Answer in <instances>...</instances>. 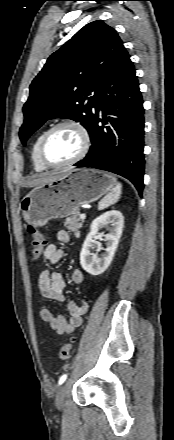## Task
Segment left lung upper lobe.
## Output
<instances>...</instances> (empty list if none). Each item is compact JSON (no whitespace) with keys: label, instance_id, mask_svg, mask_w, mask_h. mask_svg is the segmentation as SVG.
<instances>
[{"label":"left lung upper lobe","instance_id":"left-lung-upper-lobe-1","mask_svg":"<svg viewBox=\"0 0 174 440\" xmlns=\"http://www.w3.org/2000/svg\"><path fill=\"white\" fill-rule=\"evenodd\" d=\"M124 49L115 29L97 20L53 53L30 85L19 131L22 143L25 145L33 132L56 117L81 122L87 129L93 104Z\"/></svg>","mask_w":174,"mask_h":440}]
</instances>
